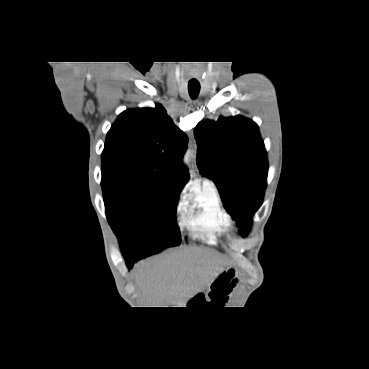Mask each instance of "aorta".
Wrapping results in <instances>:
<instances>
[{"mask_svg": "<svg viewBox=\"0 0 369 369\" xmlns=\"http://www.w3.org/2000/svg\"><path fill=\"white\" fill-rule=\"evenodd\" d=\"M189 155H190V152H189V151H187V152H186V155H185V158H184V163H185V164L188 162Z\"/></svg>", "mask_w": 369, "mask_h": 369, "instance_id": "aorta-1", "label": "aorta"}]
</instances>
